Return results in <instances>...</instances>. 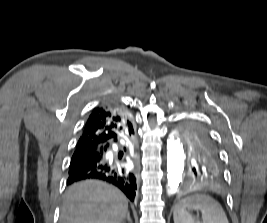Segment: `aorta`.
Segmentation results:
<instances>
[{
    "instance_id": "1",
    "label": "aorta",
    "mask_w": 267,
    "mask_h": 223,
    "mask_svg": "<svg viewBox=\"0 0 267 223\" xmlns=\"http://www.w3.org/2000/svg\"><path fill=\"white\" fill-rule=\"evenodd\" d=\"M185 153L179 134L174 131L167 139V183L170 194H175L183 180Z\"/></svg>"
}]
</instances>
